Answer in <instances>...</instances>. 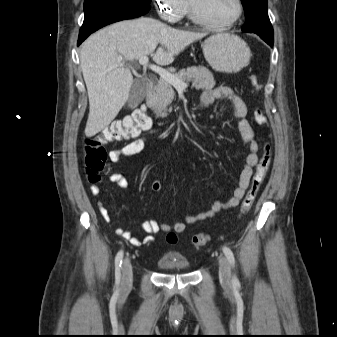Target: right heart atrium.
<instances>
[{
  "label": "right heart atrium",
  "mask_w": 337,
  "mask_h": 337,
  "mask_svg": "<svg viewBox=\"0 0 337 337\" xmlns=\"http://www.w3.org/2000/svg\"><path fill=\"white\" fill-rule=\"evenodd\" d=\"M160 17L169 22L176 23L185 14L187 3L185 0H154Z\"/></svg>",
  "instance_id": "right-heart-atrium-1"
}]
</instances>
